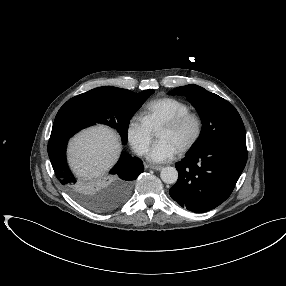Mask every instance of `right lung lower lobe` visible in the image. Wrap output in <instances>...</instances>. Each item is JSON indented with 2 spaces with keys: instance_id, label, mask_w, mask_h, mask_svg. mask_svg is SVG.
Instances as JSON below:
<instances>
[{
  "instance_id": "obj_1",
  "label": "right lung lower lobe",
  "mask_w": 286,
  "mask_h": 286,
  "mask_svg": "<svg viewBox=\"0 0 286 286\" xmlns=\"http://www.w3.org/2000/svg\"><path fill=\"white\" fill-rule=\"evenodd\" d=\"M74 134L75 133L67 131L54 123L48 143V155L59 182L69 193L75 197H79L83 193L91 191L93 187L78 181L67 165L65 154L66 145L69 137ZM143 170L144 167L140 159L131 157L127 153L122 152L119 161L109 172V174L112 175L113 182L110 187L105 190L109 197L106 203H112L110 200L114 198L113 196L116 194L120 186L125 188V195H128L131 190L133 180H135ZM125 200L118 202L116 206L120 205ZM109 209L112 208H108V210Z\"/></svg>"
}]
</instances>
